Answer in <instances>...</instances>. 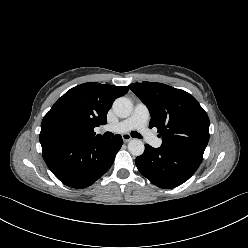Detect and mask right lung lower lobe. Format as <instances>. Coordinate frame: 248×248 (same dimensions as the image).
<instances>
[{
	"label": "right lung lower lobe",
	"instance_id": "1",
	"mask_svg": "<svg viewBox=\"0 0 248 248\" xmlns=\"http://www.w3.org/2000/svg\"><path fill=\"white\" fill-rule=\"evenodd\" d=\"M123 144L120 135L78 141L41 144L45 163L65 185L84 188L92 185L113 164Z\"/></svg>",
	"mask_w": 248,
	"mask_h": 248
}]
</instances>
